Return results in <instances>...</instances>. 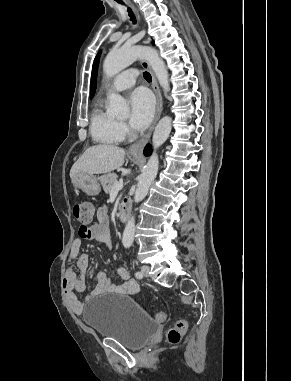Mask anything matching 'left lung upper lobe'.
I'll use <instances>...</instances> for the list:
<instances>
[{
  "label": "left lung upper lobe",
  "instance_id": "left-lung-upper-lobe-1",
  "mask_svg": "<svg viewBox=\"0 0 291 381\" xmlns=\"http://www.w3.org/2000/svg\"><path fill=\"white\" fill-rule=\"evenodd\" d=\"M99 57H100V52L96 56V58L94 60L93 68H92L90 98H92L94 96L95 91H96V79H97V69H98Z\"/></svg>",
  "mask_w": 291,
  "mask_h": 381
}]
</instances>
